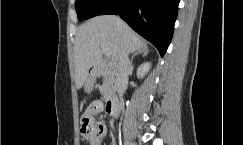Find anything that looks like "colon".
I'll use <instances>...</instances> for the list:
<instances>
[{
	"instance_id": "obj_1",
	"label": "colon",
	"mask_w": 243,
	"mask_h": 145,
	"mask_svg": "<svg viewBox=\"0 0 243 145\" xmlns=\"http://www.w3.org/2000/svg\"><path fill=\"white\" fill-rule=\"evenodd\" d=\"M80 132H81L82 137L85 140L94 134L95 126H94L93 122L91 121L90 117H88V116L82 117Z\"/></svg>"
}]
</instances>
